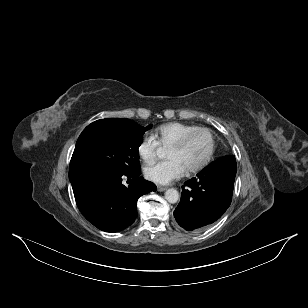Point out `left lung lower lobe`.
<instances>
[{
    "label": "left lung lower lobe",
    "instance_id": "obj_1",
    "mask_svg": "<svg viewBox=\"0 0 308 308\" xmlns=\"http://www.w3.org/2000/svg\"><path fill=\"white\" fill-rule=\"evenodd\" d=\"M236 171L235 157L227 155L186 181L174 211L177 223L187 231H199L219 219L231 204Z\"/></svg>",
    "mask_w": 308,
    "mask_h": 308
}]
</instances>
